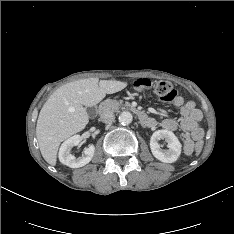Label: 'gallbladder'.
Instances as JSON below:
<instances>
[{"label":"gallbladder","instance_id":"1","mask_svg":"<svg viewBox=\"0 0 234 234\" xmlns=\"http://www.w3.org/2000/svg\"><path fill=\"white\" fill-rule=\"evenodd\" d=\"M86 110L89 116H93L96 112V109L94 107H88Z\"/></svg>","mask_w":234,"mask_h":234}]
</instances>
